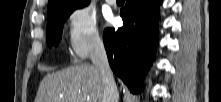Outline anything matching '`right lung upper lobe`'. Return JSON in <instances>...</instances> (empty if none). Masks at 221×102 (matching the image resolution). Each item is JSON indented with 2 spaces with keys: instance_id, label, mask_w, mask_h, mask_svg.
Instances as JSON below:
<instances>
[{
  "instance_id": "obj_1",
  "label": "right lung upper lobe",
  "mask_w": 221,
  "mask_h": 102,
  "mask_svg": "<svg viewBox=\"0 0 221 102\" xmlns=\"http://www.w3.org/2000/svg\"><path fill=\"white\" fill-rule=\"evenodd\" d=\"M90 0H49L47 18L50 19L59 11L64 9L79 7L89 3Z\"/></svg>"
}]
</instances>
